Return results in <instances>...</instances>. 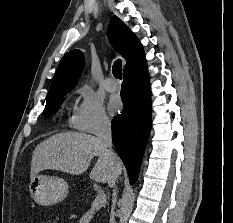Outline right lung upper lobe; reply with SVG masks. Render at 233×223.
I'll return each mask as SVG.
<instances>
[{
  "instance_id": "right-lung-upper-lobe-1",
  "label": "right lung upper lobe",
  "mask_w": 233,
  "mask_h": 223,
  "mask_svg": "<svg viewBox=\"0 0 233 223\" xmlns=\"http://www.w3.org/2000/svg\"><path fill=\"white\" fill-rule=\"evenodd\" d=\"M107 35L116 51L126 60L123 74L146 66L142 44L116 16H113L109 23ZM84 64V56L80 50H71L63 56L53 77L46 105L62 100V97L74 88Z\"/></svg>"
}]
</instances>
